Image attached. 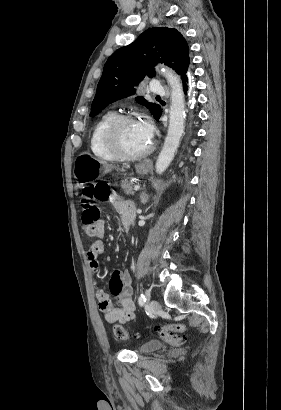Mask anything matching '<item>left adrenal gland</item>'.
Here are the masks:
<instances>
[{
	"mask_svg": "<svg viewBox=\"0 0 281 410\" xmlns=\"http://www.w3.org/2000/svg\"><path fill=\"white\" fill-rule=\"evenodd\" d=\"M140 198H141V203L146 204L149 199V196L146 194V192H142L140 195Z\"/></svg>",
	"mask_w": 281,
	"mask_h": 410,
	"instance_id": "a2214340",
	"label": "left adrenal gland"
}]
</instances>
